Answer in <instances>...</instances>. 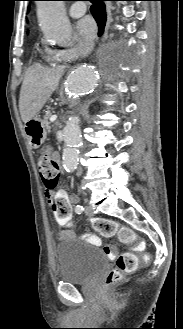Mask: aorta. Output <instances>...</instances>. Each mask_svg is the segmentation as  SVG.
I'll return each mask as SVG.
<instances>
[{"label":"aorta","mask_w":183,"mask_h":329,"mask_svg":"<svg viewBox=\"0 0 183 329\" xmlns=\"http://www.w3.org/2000/svg\"><path fill=\"white\" fill-rule=\"evenodd\" d=\"M37 15L43 34L60 45H67L71 38V24L65 15L63 1H38ZM101 74L98 63L82 64L68 76L65 89L67 97L75 100L79 95L87 94L97 88ZM65 148L63 165L67 171H73L78 164L81 144L80 119L71 116L63 128Z\"/></svg>","instance_id":"762f6f07"}]
</instances>
